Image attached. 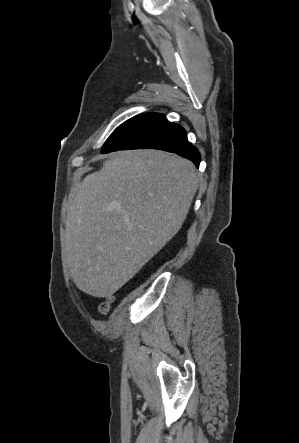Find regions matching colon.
Returning <instances> with one entry per match:
<instances>
[{"instance_id":"5ec220e1","label":"colon","mask_w":299,"mask_h":443,"mask_svg":"<svg viewBox=\"0 0 299 443\" xmlns=\"http://www.w3.org/2000/svg\"><path fill=\"white\" fill-rule=\"evenodd\" d=\"M113 300H114L113 296H108L106 298V300L103 303H101V305L99 306V311L101 313H103V314L108 313V311L110 310V307H111V304H112Z\"/></svg>"}]
</instances>
